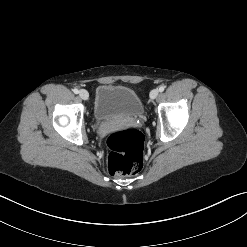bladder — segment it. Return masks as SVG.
Returning a JSON list of instances; mask_svg holds the SVG:
<instances>
[{
  "instance_id": "obj_1",
  "label": "bladder",
  "mask_w": 247,
  "mask_h": 247,
  "mask_svg": "<svg viewBox=\"0 0 247 247\" xmlns=\"http://www.w3.org/2000/svg\"><path fill=\"white\" fill-rule=\"evenodd\" d=\"M143 113L142 100L132 88L112 84H102L97 87L93 105L95 120L137 118Z\"/></svg>"
}]
</instances>
